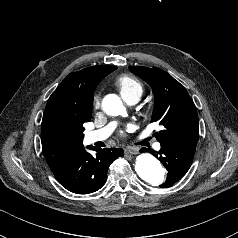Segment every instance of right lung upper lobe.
<instances>
[{"label": "right lung upper lobe", "mask_w": 238, "mask_h": 238, "mask_svg": "<svg viewBox=\"0 0 238 238\" xmlns=\"http://www.w3.org/2000/svg\"><path fill=\"white\" fill-rule=\"evenodd\" d=\"M115 66H93L70 73L50 96L41 124L43 154L52 171L83 148V124L92 113L93 93Z\"/></svg>", "instance_id": "cb5924a9"}]
</instances>
